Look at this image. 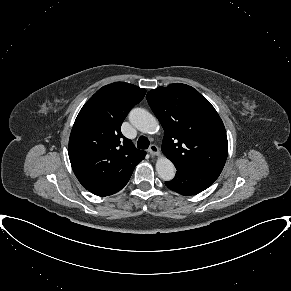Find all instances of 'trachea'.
Returning a JSON list of instances; mask_svg holds the SVG:
<instances>
[{
	"instance_id": "trachea-1",
	"label": "trachea",
	"mask_w": 291,
	"mask_h": 291,
	"mask_svg": "<svg viewBox=\"0 0 291 291\" xmlns=\"http://www.w3.org/2000/svg\"><path fill=\"white\" fill-rule=\"evenodd\" d=\"M150 145V142L148 140V138L144 137V136H141L139 137L138 139V142H137V147L139 149H147Z\"/></svg>"
}]
</instances>
